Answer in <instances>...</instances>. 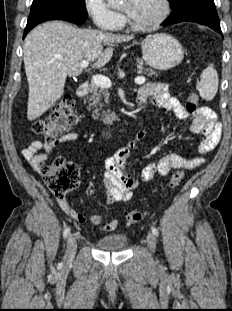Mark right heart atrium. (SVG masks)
Segmentation results:
<instances>
[{
  "label": "right heart atrium",
  "instance_id": "right-heart-atrium-1",
  "mask_svg": "<svg viewBox=\"0 0 232 311\" xmlns=\"http://www.w3.org/2000/svg\"><path fill=\"white\" fill-rule=\"evenodd\" d=\"M85 9L95 25L103 30H117L123 22V16L105 0H85Z\"/></svg>",
  "mask_w": 232,
  "mask_h": 311
}]
</instances>
